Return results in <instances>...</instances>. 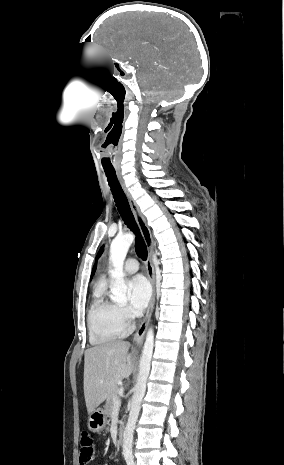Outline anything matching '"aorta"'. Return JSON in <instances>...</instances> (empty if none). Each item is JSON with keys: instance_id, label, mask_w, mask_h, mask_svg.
Listing matches in <instances>:
<instances>
[{"instance_id": "aorta-1", "label": "aorta", "mask_w": 284, "mask_h": 465, "mask_svg": "<svg viewBox=\"0 0 284 465\" xmlns=\"http://www.w3.org/2000/svg\"><path fill=\"white\" fill-rule=\"evenodd\" d=\"M134 240V235L127 233L117 236L110 246V261L114 267L111 275L114 283L111 287V299L115 302L127 301V285L124 281L123 264L129 247ZM154 348V331L150 328L140 358V368L131 401V409L123 434V455L125 459L132 458V443L135 425L141 408V402L146 391L147 379L150 373L151 360Z\"/></svg>"}]
</instances>
